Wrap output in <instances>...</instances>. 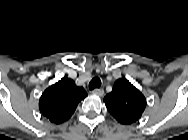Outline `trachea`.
<instances>
[{
    "instance_id": "3493384b",
    "label": "trachea",
    "mask_w": 188,
    "mask_h": 140,
    "mask_svg": "<svg viewBox=\"0 0 188 140\" xmlns=\"http://www.w3.org/2000/svg\"><path fill=\"white\" fill-rule=\"evenodd\" d=\"M101 80L98 77L93 78L89 83V89L93 90L95 88H100Z\"/></svg>"
}]
</instances>
